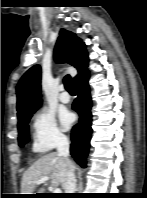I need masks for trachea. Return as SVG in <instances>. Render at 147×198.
<instances>
[{
  "label": "trachea",
  "mask_w": 147,
  "mask_h": 198,
  "mask_svg": "<svg viewBox=\"0 0 147 198\" xmlns=\"http://www.w3.org/2000/svg\"><path fill=\"white\" fill-rule=\"evenodd\" d=\"M63 83H64V86H65L67 91H69V92H74L75 91L73 81H72V78H71L70 75H66L64 77Z\"/></svg>",
  "instance_id": "obj_1"
}]
</instances>
